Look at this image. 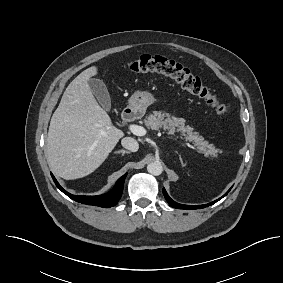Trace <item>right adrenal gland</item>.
<instances>
[{"mask_svg":"<svg viewBox=\"0 0 283 283\" xmlns=\"http://www.w3.org/2000/svg\"><path fill=\"white\" fill-rule=\"evenodd\" d=\"M115 153H116V154H117V153H118V154L121 153V155L124 156L125 153H126V154H129L130 152L122 149V150L116 151Z\"/></svg>","mask_w":283,"mask_h":283,"instance_id":"1","label":"right adrenal gland"}]
</instances>
